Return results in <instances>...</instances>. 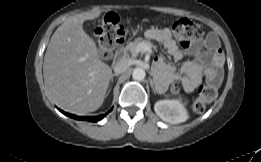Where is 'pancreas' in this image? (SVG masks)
Masks as SVG:
<instances>
[{"instance_id": "cf45deb5", "label": "pancreas", "mask_w": 261, "mask_h": 162, "mask_svg": "<svg viewBox=\"0 0 261 162\" xmlns=\"http://www.w3.org/2000/svg\"><path fill=\"white\" fill-rule=\"evenodd\" d=\"M141 44H147L152 46L151 42L143 39V38H136L134 41L128 43L124 48L123 51L125 52L126 56L130 53L132 56H136L138 54V46Z\"/></svg>"}]
</instances>
